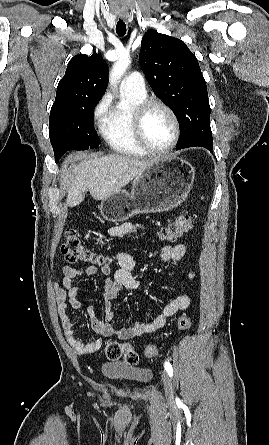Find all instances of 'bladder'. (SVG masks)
<instances>
[{
    "label": "bladder",
    "instance_id": "1",
    "mask_svg": "<svg viewBox=\"0 0 269 445\" xmlns=\"http://www.w3.org/2000/svg\"><path fill=\"white\" fill-rule=\"evenodd\" d=\"M101 373L111 380L127 381L135 384H146L152 379L149 369L132 367L120 361H106L101 365Z\"/></svg>",
    "mask_w": 269,
    "mask_h": 445
}]
</instances>
